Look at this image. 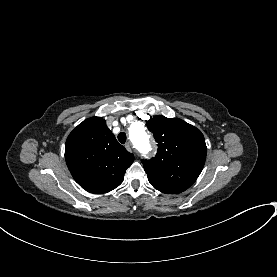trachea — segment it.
I'll use <instances>...</instances> for the list:
<instances>
[{"label":"trachea","mask_w":277,"mask_h":277,"mask_svg":"<svg viewBox=\"0 0 277 277\" xmlns=\"http://www.w3.org/2000/svg\"><path fill=\"white\" fill-rule=\"evenodd\" d=\"M126 139H127L126 133H124V132L119 133V135H118V140H119L122 144H124V143L126 142Z\"/></svg>","instance_id":"trachea-1"}]
</instances>
